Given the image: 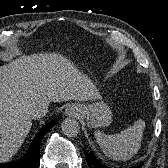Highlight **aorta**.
<instances>
[{
	"label": "aorta",
	"instance_id": "aorta-1",
	"mask_svg": "<svg viewBox=\"0 0 168 168\" xmlns=\"http://www.w3.org/2000/svg\"><path fill=\"white\" fill-rule=\"evenodd\" d=\"M61 129L64 135L75 137L79 133L80 126L77 120L66 118L61 124Z\"/></svg>",
	"mask_w": 168,
	"mask_h": 168
}]
</instances>
